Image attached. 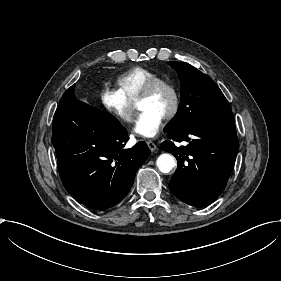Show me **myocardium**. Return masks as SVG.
Listing matches in <instances>:
<instances>
[{
    "label": "myocardium",
    "mask_w": 281,
    "mask_h": 281,
    "mask_svg": "<svg viewBox=\"0 0 281 281\" xmlns=\"http://www.w3.org/2000/svg\"><path fill=\"white\" fill-rule=\"evenodd\" d=\"M161 87L166 88L171 95V107L164 117V121L168 122L177 115L180 108V95L176 86L172 82L163 78H156L150 81L140 94L137 103L141 100H145L152 97L155 92Z\"/></svg>",
    "instance_id": "1"
}]
</instances>
